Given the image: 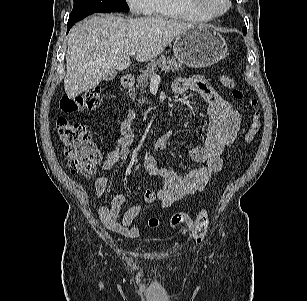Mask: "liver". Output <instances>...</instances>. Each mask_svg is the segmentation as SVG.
<instances>
[{"label": "liver", "mask_w": 307, "mask_h": 301, "mask_svg": "<svg viewBox=\"0 0 307 301\" xmlns=\"http://www.w3.org/2000/svg\"><path fill=\"white\" fill-rule=\"evenodd\" d=\"M190 23L163 17L94 16L75 25L68 38L64 89L69 98L97 86L107 73L125 70L136 60H153Z\"/></svg>", "instance_id": "1"}]
</instances>
